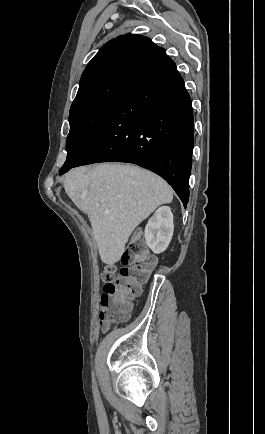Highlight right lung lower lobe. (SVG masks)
<instances>
[{
	"instance_id": "obj_1",
	"label": "right lung lower lobe",
	"mask_w": 265,
	"mask_h": 434,
	"mask_svg": "<svg viewBox=\"0 0 265 434\" xmlns=\"http://www.w3.org/2000/svg\"><path fill=\"white\" fill-rule=\"evenodd\" d=\"M193 146L191 98L175 63L164 53L135 74L102 131L72 167L108 161L137 164L163 177L186 207Z\"/></svg>"
}]
</instances>
